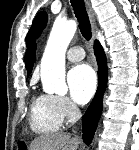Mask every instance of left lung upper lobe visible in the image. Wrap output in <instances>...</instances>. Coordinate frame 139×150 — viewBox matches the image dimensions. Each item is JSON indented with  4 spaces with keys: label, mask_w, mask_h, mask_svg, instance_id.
<instances>
[{
    "label": "left lung upper lobe",
    "mask_w": 139,
    "mask_h": 150,
    "mask_svg": "<svg viewBox=\"0 0 139 150\" xmlns=\"http://www.w3.org/2000/svg\"><path fill=\"white\" fill-rule=\"evenodd\" d=\"M46 22H47V14L45 11H42L35 17L32 26L27 34V51L25 55L26 67L28 62L29 50L32 46V43L40 35L42 29L46 25Z\"/></svg>",
    "instance_id": "5c2ea615"
}]
</instances>
